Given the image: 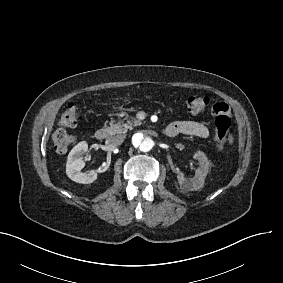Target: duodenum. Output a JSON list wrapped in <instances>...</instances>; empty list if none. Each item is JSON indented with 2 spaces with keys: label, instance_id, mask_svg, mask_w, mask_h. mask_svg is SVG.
<instances>
[{
  "label": "duodenum",
  "instance_id": "410a0bca",
  "mask_svg": "<svg viewBox=\"0 0 283 283\" xmlns=\"http://www.w3.org/2000/svg\"><path fill=\"white\" fill-rule=\"evenodd\" d=\"M163 133L169 136V132L166 128L164 129ZM95 137L100 141L107 139L109 137L108 129L104 127L97 129L95 132Z\"/></svg>",
  "mask_w": 283,
  "mask_h": 283
}]
</instances>
